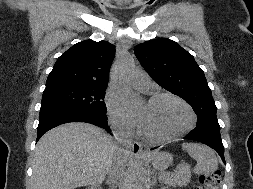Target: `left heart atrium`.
Masks as SVG:
<instances>
[{
	"instance_id": "left-heart-atrium-1",
	"label": "left heart atrium",
	"mask_w": 253,
	"mask_h": 189,
	"mask_svg": "<svg viewBox=\"0 0 253 189\" xmlns=\"http://www.w3.org/2000/svg\"><path fill=\"white\" fill-rule=\"evenodd\" d=\"M142 115L139 114L138 116L135 117V122L141 127L142 124Z\"/></svg>"
}]
</instances>
